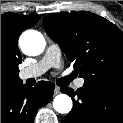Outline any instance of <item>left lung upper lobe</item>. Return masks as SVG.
Segmentation results:
<instances>
[{
    "label": "left lung upper lobe",
    "instance_id": "1",
    "mask_svg": "<svg viewBox=\"0 0 123 123\" xmlns=\"http://www.w3.org/2000/svg\"><path fill=\"white\" fill-rule=\"evenodd\" d=\"M85 84L123 90V33L91 12L51 14L43 19Z\"/></svg>",
    "mask_w": 123,
    "mask_h": 123
}]
</instances>
